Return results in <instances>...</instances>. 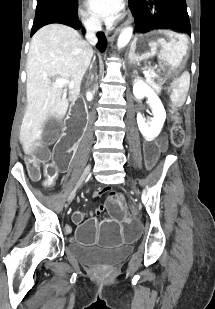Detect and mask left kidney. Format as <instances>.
I'll return each instance as SVG.
<instances>
[{"label": "left kidney", "instance_id": "left-kidney-1", "mask_svg": "<svg viewBox=\"0 0 215 309\" xmlns=\"http://www.w3.org/2000/svg\"><path fill=\"white\" fill-rule=\"evenodd\" d=\"M133 94L136 98L148 96L150 108H152L153 112V118L146 120V118L138 112L137 124L140 132H142L146 140H153V138L158 136L159 132H161V128L166 118V110L153 88H150V86H148L146 82H143V80H140V78H135V82L133 84Z\"/></svg>", "mask_w": 215, "mask_h": 309}]
</instances>
